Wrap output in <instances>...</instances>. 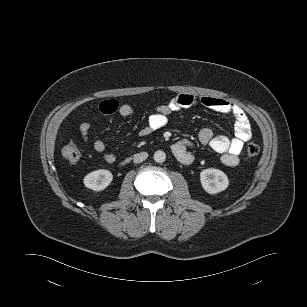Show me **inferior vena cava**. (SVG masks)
Returning <instances> with one entry per match:
<instances>
[{"mask_svg":"<svg viewBox=\"0 0 307 307\" xmlns=\"http://www.w3.org/2000/svg\"><path fill=\"white\" fill-rule=\"evenodd\" d=\"M148 158V153L147 152H140L134 155L133 157V162L134 163H141L144 160Z\"/></svg>","mask_w":307,"mask_h":307,"instance_id":"602c4592","label":"inferior vena cava"}]
</instances>
